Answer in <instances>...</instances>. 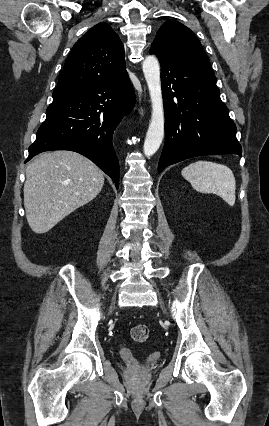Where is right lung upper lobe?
Returning a JSON list of instances; mask_svg holds the SVG:
<instances>
[{"label": "right lung upper lobe", "instance_id": "right-lung-upper-lobe-1", "mask_svg": "<svg viewBox=\"0 0 269 426\" xmlns=\"http://www.w3.org/2000/svg\"><path fill=\"white\" fill-rule=\"evenodd\" d=\"M126 73L122 42L110 25L99 23L73 46L54 92L106 83Z\"/></svg>", "mask_w": 269, "mask_h": 426}]
</instances>
